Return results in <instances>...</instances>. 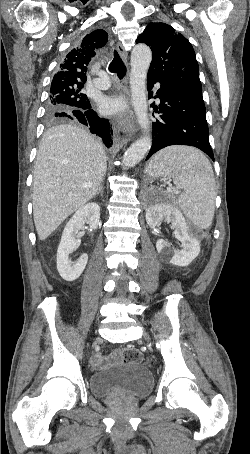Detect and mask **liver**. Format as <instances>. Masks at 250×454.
<instances>
[{
	"label": "liver",
	"mask_w": 250,
	"mask_h": 454,
	"mask_svg": "<svg viewBox=\"0 0 250 454\" xmlns=\"http://www.w3.org/2000/svg\"><path fill=\"white\" fill-rule=\"evenodd\" d=\"M107 169L103 146L83 128L63 124L47 130L33 174V216L45 240L97 193Z\"/></svg>",
	"instance_id": "1"
}]
</instances>
